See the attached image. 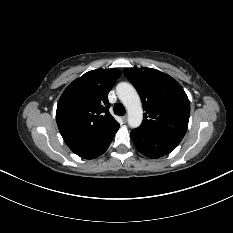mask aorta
<instances>
[{
  "mask_svg": "<svg viewBox=\"0 0 233 233\" xmlns=\"http://www.w3.org/2000/svg\"><path fill=\"white\" fill-rule=\"evenodd\" d=\"M116 93L128 112V125L137 128L143 120L141 99L136 89L127 82H121L116 87Z\"/></svg>",
  "mask_w": 233,
  "mask_h": 233,
  "instance_id": "762f6f07",
  "label": "aorta"
}]
</instances>
